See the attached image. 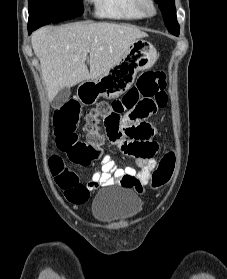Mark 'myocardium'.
<instances>
[{"instance_id":"obj_1","label":"myocardium","mask_w":227,"mask_h":279,"mask_svg":"<svg viewBox=\"0 0 227 279\" xmlns=\"http://www.w3.org/2000/svg\"><path fill=\"white\" fill-rule=\"evenodd\" d=\"M137 8L144 17H153L157 14V8L154 0H136Z\"/></svg>"}]
</instances>
